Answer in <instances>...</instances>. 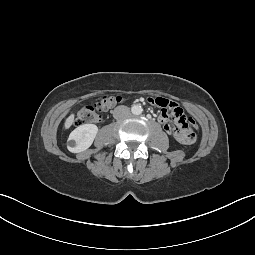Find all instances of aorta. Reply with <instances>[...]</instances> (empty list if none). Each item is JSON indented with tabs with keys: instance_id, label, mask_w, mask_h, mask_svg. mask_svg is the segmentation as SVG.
I'll list each match as a JSON object with an SVG mask.
<instances>
[{
	"instance_id": "aorta-1",
	"label": "aorta",
	"mask_w": 255,
	"mask_h": 255,
	"mask_svg": "<svg viewBox=\"0 0 255 255\" xmlns=\"http://www.w3.org/2000/svg\"><path fill=\"white\" fill-rule=\"evenodd\" d=\"M143 109L140 105H133L131 107V112L134 114V115H140L142 113Z\"/></svg>"
}]
</instances>
